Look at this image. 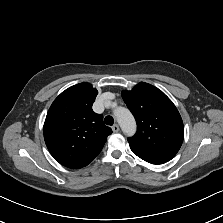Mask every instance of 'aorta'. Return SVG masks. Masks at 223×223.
Segmentation results:
<instances>
[{"instance_id":"762f6f07","label":"aorta","mask_w":223,"mask_h":223,"mask_svg":"<svg viewBox=\"0 0 223 223\" xmlns=\"http://www.w3.org/2000/svg\"><path fill=\"white\" fill-rule=\"evenodd\" d=\"M115 116L126 133H133L135 130V121L130 112L125 108H117Z\"/></svg>"}]
</instances>
